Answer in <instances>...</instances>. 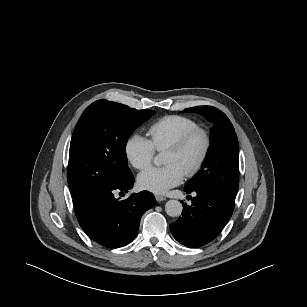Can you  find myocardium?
Masks as SVG:
<instances>
[{"label":"myocardium","instance_id":"1","mask_svg":"<svg viewBox=\"0 0 307 307\" xmlns=\"http://www.w3.org/2000/svg\"><path fill=\"white\" fill-rule=\"evenodd\" d=\"M201 137L203 140V147L202 150L198 156V158L195 160V162L185 171L184 175L186 177H192L194 176L202 167L204 162L206 161L210 149H211V136L209 132L202 128V127H196L194 129H191L190 131L183 134L180 138H178L175 142H173L170 146H168L165 149L166 151L171 152H181L186 148V146L195 138V137Z\"/></svg>","mask_w":307,"mask_h":307}]
</instances>
